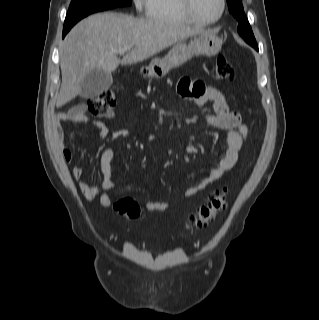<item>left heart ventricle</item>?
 Instances as JSON below:
<instances>
[{"label":"left heart ventricle","mask_w":319,"mask_h":320,"mask_svg":"<svg viewBox=\"0 0 319 320\" xmlns=\"http://www.w3.org/2000/svg\"><path fill=\"white\" fill-rule=\"evenodd\" d=\"M196 15L203 20L215 19L220 12V0H193Z\"/></svg>","instance_id":"b2bd125f"}]
</instances>
